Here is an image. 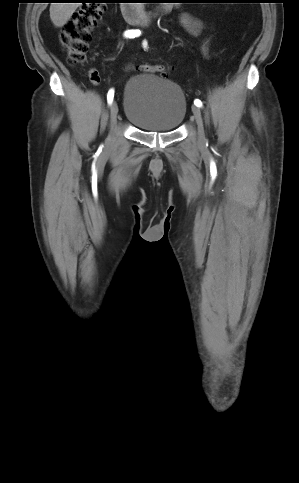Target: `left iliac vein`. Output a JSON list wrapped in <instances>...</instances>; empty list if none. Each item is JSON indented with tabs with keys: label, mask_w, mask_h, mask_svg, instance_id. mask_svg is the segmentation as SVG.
Returning a JSON list of instances; mask_svg holds the SVG:
<instances>
[{
	"label": "left iliac vein",
	"mask_w": 299,
	"mask_h": 483,
	"mask_svg": "<svg viewBox=\"0 0 299 483\" xmlns=\"http://www.w3.org/2000/svg\"><path fill=\"white\" fill-rule=\"evenodd\" d=\"M192 112L198 127V139L201 143L205 141V132L203 126V120L201 115V110L198 106H192Z\"/></svg>",
	"instance_id": "4c4485c4"
}]
</instances>
